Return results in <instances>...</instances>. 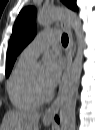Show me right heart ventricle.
Here are the masks:
<instances>
[{
  "label": "right heart ventricle",
  "mask_w": 95,
  "mask_h": 130,
  "mask_svg": "<svg viewBox=\"0 0 95 130\" xmlns=\"http://www.w3.org/2000/svg\"><path fill=\"white\" fill-rule=\"evenodd\" d=\"M30 63L19 58L7 84L9 98L18 109H35L41 104L34 94L31 78L27 74Z\"/></svg>",
  "instance_id": "1"
}]
</instances>
